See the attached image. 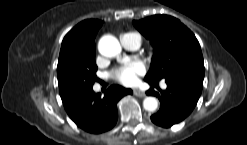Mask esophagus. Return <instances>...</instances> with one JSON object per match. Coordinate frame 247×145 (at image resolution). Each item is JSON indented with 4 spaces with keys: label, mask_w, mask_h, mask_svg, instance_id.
Here are the masks:
<instances>
[{
    "label": "esophagus",
    "mask_w": 247,
    "mask_h": 145,
    "mask_svg": "<svg viewBox=\"0 0 247 145\" xmlns=\"http://www.w3.org/2000/svg\"><path fill=\"white\" fill-rule=\"evenodd\" d=\"M133 93L137 97H145V93L140 91V90H138V89H135Z\"/></svg>",
    "instance_id": "obj_1"
}]
</instances>
